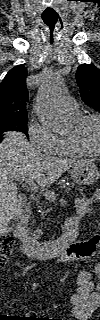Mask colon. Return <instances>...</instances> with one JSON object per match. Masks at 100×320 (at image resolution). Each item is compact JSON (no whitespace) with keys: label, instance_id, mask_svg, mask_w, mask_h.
I'll return each mask as SVG.
<instances>
[{"label":"colon","instance_id":"obj_1","mask_svg":"<svg viewBox=\"0 0 100 320\" xmlns=\"http://www.w3.org/2000/svg\"><path fill=\"white\" fill-rule=\"evenodd\" d=\"M99 243V237L97 235L91 237L87 241L82 244L83 252L80 253V257H89L91 256ZM13 247V239L10 236H3L1 238V257H0V264L4 265L7 261L8 256L12 252ZM74 255L72 254L71 257ZM53 320H62V319H53Z\"/></svg>","mask_w":100,"mask_h":320}]
</instances>
